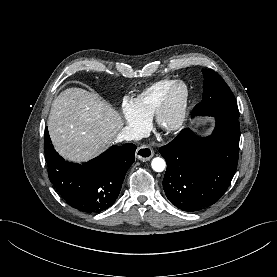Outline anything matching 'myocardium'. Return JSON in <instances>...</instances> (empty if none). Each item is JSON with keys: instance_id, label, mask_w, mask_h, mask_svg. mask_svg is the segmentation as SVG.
<instances>
[{"instance_id": "f54148a6", "label": "myocardium", "mask_w": 277, "mask_h": 277, "mask_svg": "<svg viewBox=\"0 0 277 277\" xmlns=\"http://www.w3.org/2000/svg\"><path fill=\"white\" fill-rule=\"evenodd\" d=\"M177 94H179V97L174 104ZM188 102L189 89L187 85L183 81H175L164 94L153 115L156 127L165 133H172L181 129L186 120ZM171 109H173V117L170 121H167L166 116Z\"/></svg>"}]
</instances>
